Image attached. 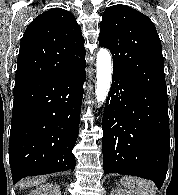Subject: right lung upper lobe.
Wrapping results in <instances>:
<instances>
[{"instance_id":"obj_1","label":"right lung upper lobe","mask_w":178,"mask_h":195,"mask_svg":"<svg viewBox=\"0 0 178 195\" xmlns=\"http://www.w3.org/2000/svg\"><path fill=\"white\" fill-rule=\"evenodd\" d=\"M84 38L72 13L53 8L37 16L20 44L15 84L65 75L86 64Z\"/></svg>"}]
</instances>
